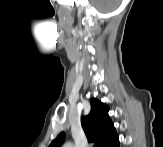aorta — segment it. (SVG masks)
Returning <instances> with one entry per match:
<instances>
[{"label": "aorta", "instance_id": "1", "mask_svg": "<svg viewBox=\"0 0 163 147\" xmlns=\"http://www.w3.org/2000/svg\"><path fill=\"white\" fill-rule=\"evenodd\" d=\"M66 146H71V144H70V143H68V144H66Z\"/></svg>", "mask_w": 163, "mask_h": 147}]
</instances>
